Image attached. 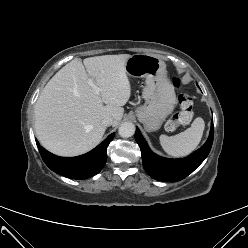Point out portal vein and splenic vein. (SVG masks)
I'll use <instances>...</instances> for the list:
<instances>
[{"instance_id":"portal-vein-and-splenic-vein-1","label":"portal vein and splenic vein","mask_w":248,"mask_h":248,"mask_svg":"<svg viewBox=\"0 0 248 248\" xmlns=\"http://www.w3.org/2000/svg\"><path fill=\"white\" fill-rule=\"evenodd\" d=\"M88 84L93 88L96 94L100 93V89L94 84L93 80L90 78L88 79Z\"/></svg>"}]
</instances>
